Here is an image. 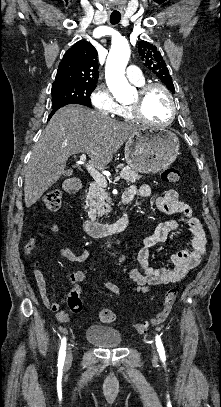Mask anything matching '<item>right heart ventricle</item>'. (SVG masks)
Returning <instances> with one entry per match:
<instances>
[{
    "label": "right heart ventricle",
    "mask_w": 221,
    "mask_h": 407,
    "mask_svg": "<svg viewBox=\"0 0 221 407\" xmlns=\"http://www.w3.org/2000/svg\"><path fill=\"white\" fill-rule=\"evenodd\" d=\"M142 84H143V83H142ZM142 84H140V85H142ZM116 114H117L119 117H121L122 119L127 120V121L134 119V118L132 117V115H131V113H130V111H129V109H128L127 106H119V109H118V111H117Z\"/></svg>",
    "instance_id": "e07e8e85"
}]
</instances>
